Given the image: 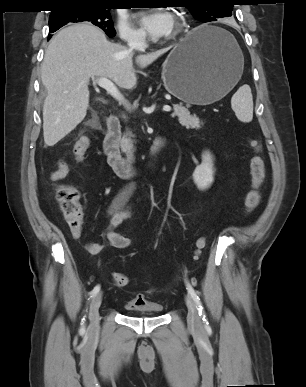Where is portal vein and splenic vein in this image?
Segmentation results:
<instances>
[{"label": "portal vein and splenic vein", "instance_id": "1", "mask_svg": "<svg viewBox=\"0 0 306 387\" xmlns=\"http://www.w3.org/2000/svg\"><path fill=\"white\" fill-rule=\"evenodd\" d=\"M96 83L98 84V86L105 89L114 99L122 103L125 107H128L126 100L124 99V97L119 92L118 88L111 80L107 78H98L96 79ZM163 111L170 112L171 107L169 105H164Z\"/></svg>", "mask_w": 306, "mask_h": 387}]
</instances>
